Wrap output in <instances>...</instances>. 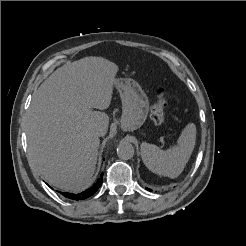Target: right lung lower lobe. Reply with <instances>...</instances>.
Listing matches in <instances>:
<instances>
[{"mask_svg": "<svg viewBox=\"0 0 246 246\" xmlns=\"http://www.w3.org/2000/svg\"><path fill=\"white\" fill-rule=\"evenodd\" d=\"M101 176H103V174H101ZM101 185H102V178H100L92 187L84 190L79 194L60 192V191L58 192L61 193L65 198L70 200H84L94 195L95 192L101 187Z\"/></svg>", "mask_w": 246, "mask_h": 246, "instance_id": "1", "label": "right lung lower lobe"}]
</instances>
